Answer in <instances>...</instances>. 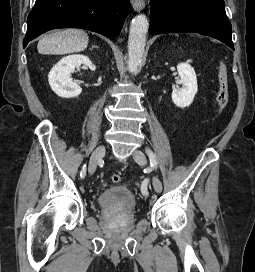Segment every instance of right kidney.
Here are the masks:
<instances>
[{
    "label": "right kidney",
    "mask_w": 255,
    "mask_h": 272,
    "mask_svg": "<svg viewBox=\"0 0 255 272\" xmlns=\"http://www.w3.org/2000/svg\"><path fill=\"white\" fill-rule=\"evenodd\" d=\"M95 71L96 67L85 55L63 57L49 72L48 81L51 89L62 98H73L81 94L82 88L70 78L71 72L80 65Z\"/></svg>",
    "instance_id": "ca27d5eb"
}]
</instances>
